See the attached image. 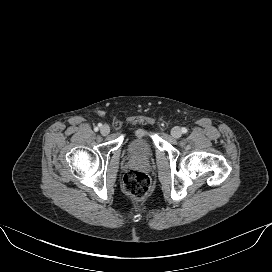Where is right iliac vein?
I'll list each match as a JSON object with an SVG mask.
<instances>
[{
	"label": "right iliac vein",
	"instance_id": "63e3f726",
	"mask_svg": "<svg viewBox=\"0 0 272 272\" xmlns=\"http://www.w3.org/2000/svg\"><path fill=\"white\" fill-rule=\"evenodd\" d=\"M100 132L102 135H108L109 132H110V127L108 125H103L101 128H100Z\"/></svg>",
	"mask_w": 272,
	"mask_h": 272
}]
</instances>
